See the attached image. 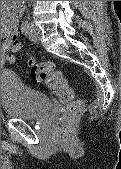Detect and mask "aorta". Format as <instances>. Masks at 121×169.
Wrapping results in <instances>:
<instances>
[{
    "instance_id": "1",
    "label": "aorta",
    "mask_w": 121,
    "mask_h": 169,
    "mask_svg": "<svg viewBox=\"0 0 121 169\" xmlns=\"http://www.w3.org/2000/svg\"><path fill=\"white\" fill-rule=\"evenodd\" d=\"M23 1H1L2 10L8 12L20 11L22 8Z\"/></svg>"
}]
</instances>
